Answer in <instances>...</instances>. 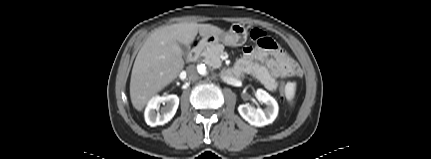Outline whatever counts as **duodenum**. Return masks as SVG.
<instances>
[{"mask_svg": "<svg viewBox=\"0 0 431 159\" xmlns=\"http://www.w3.org/2000/svg\"><path fill=\"white\" fill-rule=\"evenodd\" d=\"M206 44H207L206 40H201V41L195 42L191 48L189 55H188V60L191 62L195 61L199 57L200 53L202 52V50ZM228 74L232 75V76H236L239 74V72L235 69H230L228 71Z\"/></svg>", "mask_w": 431, "mask_h": 159, "instance_id": "duodenum-1", "label": "duodenum"}]
</instances>
